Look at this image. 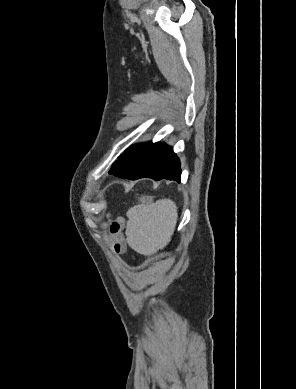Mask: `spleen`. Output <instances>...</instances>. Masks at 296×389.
<instances>
[{
	"instance_id": "3e777b00",
	"label": "spleen",
	"mask_w": 296,
	"mask_h": 389,
	"mask_svg": "<svg viewBox=\"0 0 296 389\" xmlns=\"http://www.w3.org/2000/svg\"><path fill=\"white\" fill-rule=\"evenodd\" d=\"M127 243L142 255H153L171 240L178 219L177 207L170 199L144 201L128 212Z\"/></svg>"
}]
</instances>
